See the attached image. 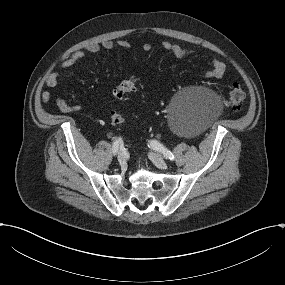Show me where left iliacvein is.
Wrapping results in <instances>:
<instances>
[{"label":"left iliac vein","mask_w":285,"mask_h":285,"mask_svg":"<svg viewBox=\"0 0 285 285\" xmlns=\"http://www.w3.org/2000/svg\"><path fill=\"white\" fill-rule=\"evenodd\" d=\"M148 157L160 169H167L168 168L167 163L163 160V158L159 154L154 153V152H150L148 154Z\"/></svg>","instance_id":"4c4485c4"}]
</instances>
